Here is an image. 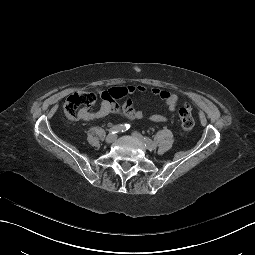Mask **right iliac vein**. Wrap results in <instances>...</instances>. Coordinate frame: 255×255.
<instances>
[{
	"mask_svg": "<svg viewBox=\"0 0 255 255\" xmlns=\"http://www.w3.org/2000/svg\"><path fill=\"white\" fill-rule=\"evenodd\" d=\"M117 135L116 134H109L106 138L107 143H112L116 140Z\"/></svg>",
	"mask_w": 255,
	"mask_h": 255,
	"instance_id": "1",
	"label": "right iliac vein"
}]
</instances>
